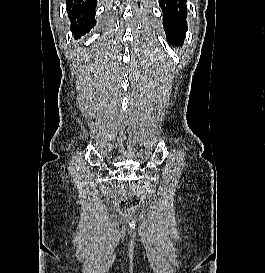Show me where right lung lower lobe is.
Wrapping results in <instances>:
<instances>
[{"instance_id": "obj_1", "label": "right lung lower lobe", "mask_w": 265, "mask_h": 273, "mask_svg": "<svg viewBox=\"0 0 265 273\" xmlns=\"http://www.w3.org/2000/svg\"><path fill=\"white\" fill-rule=\"evenodd\" d=\"M66 2L71 31L74 34V39H79L96 24V0H66Z\"/></svg>"}]
</instances>
